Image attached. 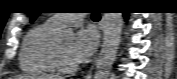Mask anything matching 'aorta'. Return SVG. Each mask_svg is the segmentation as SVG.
I'll return each instance as SVG.
<instances>
[{
    "label": "aorta",
    "mask_w": 177,
    "mask_h": 79,
    "mask_svg": "<svg viewBox=\"0 0 177 79\" xmlns=\"http://www.w3.org/2000/svg\"><path fill=\"white\" fill-rule=\"evenodd\" d=\"M104 37L102 48L96 63L94 79H108L115 61L122 34V13H104ZM63 40H73L74 33L64 30L60 34Z\"/></svg>",
    "instance_id": "1"
}]
</instances>
